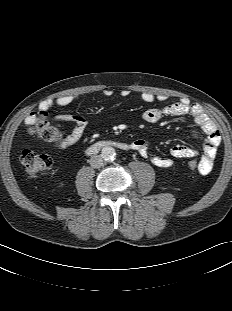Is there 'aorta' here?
<instances>
[{
	"mask_svg": "<svg viewBox=\"0 0 232 311\" xmlns=\"http://www.w3.org/2000/svg\"><path fill=\"white\" fill-rule=\"evenodd\" d=\"M101 157L105 162L111 163L116 159L117 154L113 147L107 146L102 149Z\"/></svg>",
	"mask_w": 232,
	"mask_h": 311,
	"instance_id": "aorta-1",
	"label": "aorta"
}]
</instances>
